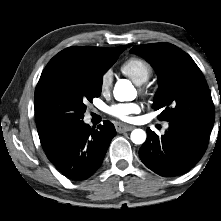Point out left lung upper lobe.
Listing matches in <instances>:
<instances>
[{"mask_svg": "<svg viewBox=\"0 0 221 221\" xmlns=\"http://www.w3.org/2000/svg\"><path fill=\"white\" fill-rule=\"evenodd\" d=\"M132 53L144 57L156 70L159 89L153 108L169 123H188L210 134L215 110L206 80L193 59L170 43L138 45Z\"/></svg>", "mask_w": 221, "mask_h": 221, "instance_id": "obj_1", "label": "left lung upper lobe"}]
</instances>
